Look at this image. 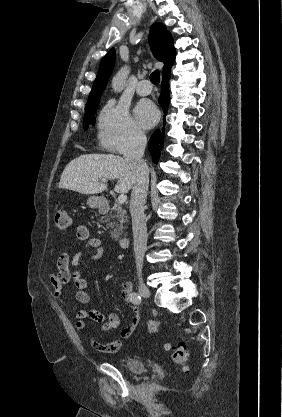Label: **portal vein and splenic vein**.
<instances>
[{
    "instance_id": "portal-vein-and-splenic-vein-1",
    "label": "portal vein and splenic vein",
    "mask_w": 282,
    "mask_h": 417,
    "mask_svg": "<svg viewBox=\"0 0 282 417\" xmlns=\"http://www.w3.org/2000/svg\"><path fill=\"white\" fill-rule=\"evenodd\" d=\"M102 180H103V182H106L105 178H102ZM118 200H119V202H126L127 194H124V192H123V194H119Z\"/></svg>"
}]
</instances>
